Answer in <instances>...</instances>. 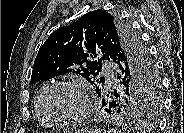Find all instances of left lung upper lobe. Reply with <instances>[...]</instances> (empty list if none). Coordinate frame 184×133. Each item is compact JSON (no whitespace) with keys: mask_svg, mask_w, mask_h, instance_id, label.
Segmentation results:
<instances>
[{"mask_svg":"<svg viewBox=\"0 0 184 133\" xmlns=\"http://www.w3.org/2000/svg\"><path fill=\"white\" fill-rule=\"evenodd\" d=\"M102 60L116 63L125 79V87H117L116 96L110 92L109 97H102L105 103H115L114 115L126 120L156 118L161 82L154 61L131 27L104 10L88 12L54 31L39 49L29 84L74 72L99 93L105 91L104 77H96Z\"/></svg>","mask_w":184,"mask_h":133,"instance_id":"obj_1","label":"left lung upper lobe"}]
</instances>
